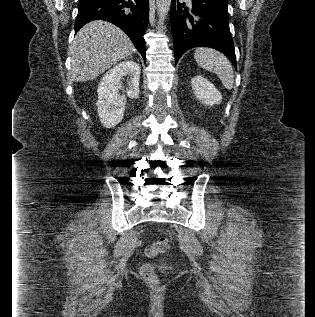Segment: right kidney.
Listing matches in <instances>:
<instances>
[{
  "label": "right kidney",
  "instance_id": "1",
  "mask_svg": "<svg viewBox=\"0 0 315 317\" xmlns=\"http://www.w3.org/2000/svg\"><path fill=\"white\" fill-rule=\"evenodd\" d=\"M141 69L134 61H124L115 65L102 77L98 86V115L101 124L112 128L121 122L125 111V95L118 94L122 79L127 76L126 95L132 99L139 96V79Z\"/></svg>",
  "mask_w": 315,
  "mask_h": 317
}]
</instances>
